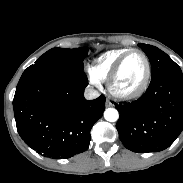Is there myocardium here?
Wrapping results in <instances>:
<instances>
[{
    "label": "myocardium",
    "mask_w": 183,
    "mask_h": 183,
    "mask_svg": "<svg viewBox=\"0 0 183 183\" xmlns=\"http://www.w3.org/2000/svg\"><path fill=\"white\" fill-rule=\"evenodd\" d=\"M132 53L140 54L142 56V58L144 59L145 74H144L143 80L135 89L130 90V91H121L116 88L115 80L119 74V71H120L124 61ZM150 79H151V64H150V60H149L148 56L142 50L133 48V49H129L128 51H126L116 61V63L114 64V66L112 67V69L109 72V75L106 79V84H107V89H108L109 93L113 97L120 99V100H132V99L138 98L146 91V89L148 88V85L150 83Z\"/></svg>",
    "instance_id": "f54148a6"
}]
</instances>
